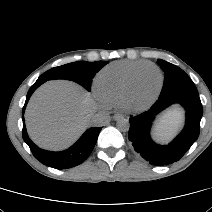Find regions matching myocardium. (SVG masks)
Instances as JSON below:
<instances>
[{
  "mask_svg": "<svg viewBox=\"0 0 212 212\" xmlns=\"http://www.w3.org/2000/svg\"><path fill=\"white\" fill-rule=\"evenodd\" d=\"M145 69H153L158 73L159 84H158V87H157L155 93L153 94V96L147 102H145L144 104H141V105H134V104L131 103V97H132L133 92L135 90L138 77H139L140 73ZM162 84H163V74H162V71L160 70V68L158 66H156L153 63H150V64H146V65L139 67L138 69H136L132 73V75H131L128 83H127V86L124 90V93H123V96H122V99H121V104H120L121 107L125 111L132 112V113L145 110L157 99V97H158V95L161 91Z\"/></svg>",
  "mask_w": 212,
  "mask_h": 212,
  "instance_id": "f54148a6",
  "label": "myocardium"
}]
</instances>
